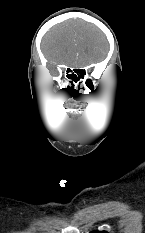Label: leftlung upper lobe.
I'll return each instance as SVG.
<instances>
[{
	"mask_svg": "<svg viewBox=\"0 0 145 233\" xmlns=\"http://www.w3.org/2000/svg\"><path fill=\"white\" fill-rule=\"evenodd\" d=\"M91 233H108L106 231H92Z\"/></svg>",
	"mask_w": 145,
	"mask_h": 233,
	"instance_id": "obj_1",
	"label": "left lung upper lobe"
}]
</instances>
